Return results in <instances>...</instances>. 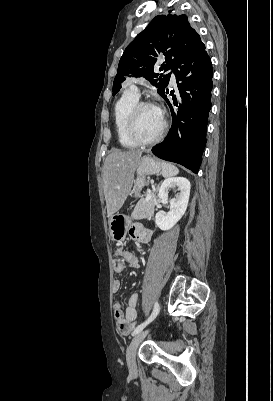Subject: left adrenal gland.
Returning <instances> with one entry per match:
<instances>
[{"mask_svg":"<svg viewBox=\"0 0 273 401\" xmlns=\"http://www.w3.org/2000/svg\"><path fill=\"white\" fill-rule=\"evenodd\" d=\"M159 186H160V182H159V184H157V186H156V192H158Z\"/></svg>","mask_w":273,"mask_h":401,"instance_id":"obj_1","label":"left adrenal gland"}]
</instances>
